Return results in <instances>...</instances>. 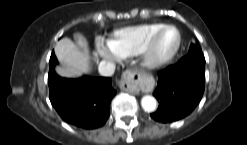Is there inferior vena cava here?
<instances>
[{"instance_id":"602c4592","label":"inferior vena cava","mask_w":247,"mask_h":145,"mask_svg":"<svg viewBox=\"0 0 247 145\" xmlns=\"http://www.w3.org/2000/svg\"><path fill=\"white\" fill-rule=\"evenodd\" d=\"M98 71L102 76H112L115 71V64L108 61H101Z\"/></svg>"}]
</instances>
